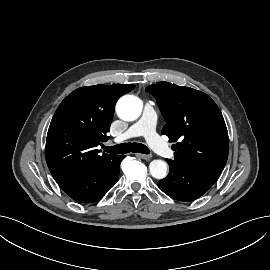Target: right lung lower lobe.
<instances>
[{"label": "right lung lower lobe", "instance_id": "98d812e1", "mask_svg": "<svg viewBox=\"0 0 270 270\" xmlns=\"http://www.w3.org/2000/svg\"><path fill=\"white\" fill-rule=\"evenodd\" d=\"M124 157V155H117L97 169L58 184L75 201L95 202L116 184L120 173V163Z\"/></svg>", "mask_w": 270, "mask_h": 270}]
</instances>
